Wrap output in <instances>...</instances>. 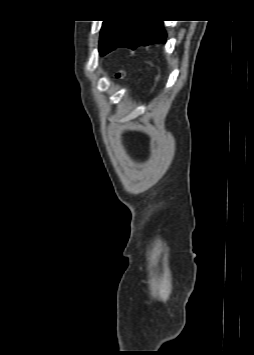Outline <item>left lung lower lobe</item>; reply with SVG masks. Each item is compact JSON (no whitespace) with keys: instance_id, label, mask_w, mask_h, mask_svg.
Here are the masks:
<instances>
[{"instance_id":"1","label":"left lung lower lobe","mask_w":254,"mask_h":355,"mask_svg":"<svg viewBox=\"0 0 254 355\" xmlns=\"http://www.w3.org/2000/svg\"><path fill=\"white\" fill-rule=\"evenodd\" d=\"M162 22L161 20L152 19L129 21L113 49L117 47L135 49L141 45L165 43L166 32L163 29Z\"/></svg>"}]
</instances>
